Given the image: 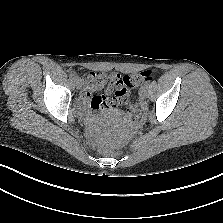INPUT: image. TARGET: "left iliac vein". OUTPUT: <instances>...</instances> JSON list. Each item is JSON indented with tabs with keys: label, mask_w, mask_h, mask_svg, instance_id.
Returning a JSON list of instances; mask_svg holds the SVG:
<instances>
[{
	"label": "left iliac vein",
	"mask_w": 223,
	"mask_h": 223,
	"mask_svg": "<svg viewBox=\"0 0 223 223\" xmlns=\"http://www.w3.org/2000/svg\"><path fill=\"white\" fill-rule=\"evenodd\" d=\"M139 94L141 99H145L148 95L147 87H142Z\"/></svg>",
	"instance_id": "left-iliac-vein-1"
}]
</instances>
